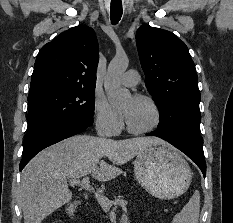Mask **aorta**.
I'll return each mask as SVG.
<instances>
[{"label": "aorta", "mask_w": 233, "mask_h": 223, "mask_svg": "<svg viewBox=\"0 0 233 223\" xmlns=\"http://www.w3.org/2000/svg\"><path fill=\"white\" fill-rule=\"evenodd\" d=\"M129 60L125 58H114L110 62L107 70V76L104 80L105 92L108 96V102L111 106H121L131 98L129 90L121 88L120 78L128 68Z\"/></svg>", "instance_id": "762f6f07"}]
</instances>
